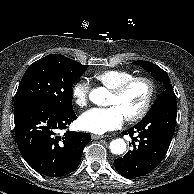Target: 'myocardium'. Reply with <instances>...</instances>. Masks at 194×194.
I'll list each match as a JSON object with an SVG mask.
<instances>
[{"label":"myocardium","instance_id":"obj_1","mask_svg":"<svg viewBox=\"0 0 194 194\" xmlns=\"http://www.w3.org/2000/svg\"><path fill=\"white\" fill-rule=\"evenodd\" d=\"M136 82H143L147 86L148 93H147V97H146L145 103L143 104L142 108L137 113L131 116L125 117V120L127 122H136L146 116V114L148 113L152 105L153 99H154L155 84L153 80L147 76H134L120 83L118 86L114 87L113 89H111V93L113 95L121 96L132 84Z\"/></svg>","mask_w":194,"mask_h":194}]
</instances>
